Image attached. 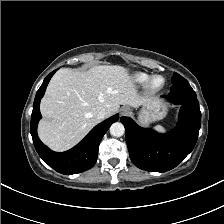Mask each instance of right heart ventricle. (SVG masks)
I'll return each instance as SVG.
<instances>
[{
    "label": "right heart ventricle",
    "mask_w": 224,
    "mask_h": 224,
    "mask_svg": "<svg viewBox=\"0 0 224 224\" xmlns=\"http://www.w3.org/2000/svg\"><path fill=\"white\" fill-rule=\"evenodd\" d=\"M149 77L150 75L148 73L136 72L132 75V80L138 84H144Z\"/></svg>",
    "instance_id": "e07e8e85"
}]
</instances>
